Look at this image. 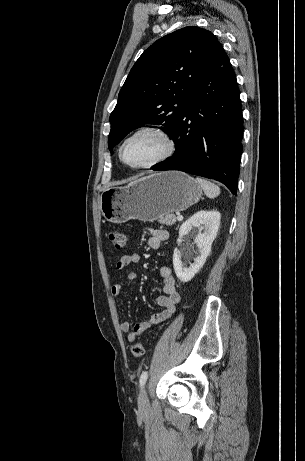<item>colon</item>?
<instances>
[{
    "instance_id": "colon-1",
    "label": "colon",
    "mask_w": 305,
    "mask_h": 461,
    "mask_svg": "<svg viewBox=\"0 0 305 461\" xmlns=\"http://www.w3.org/2000/svg\"><path fill=\"white\" fill-rule=\"evenodd\" d=\"M108 236L109 240L117 251H122L125 249L128 240L126 233L118 230H111ZM131 352L132 355L136 358L142 357L144 354L143 345L140 343L133 344L131 347Z\"/></svg>"
}]
</instances>
